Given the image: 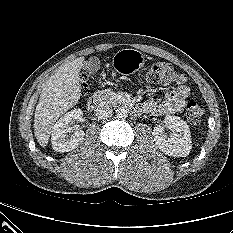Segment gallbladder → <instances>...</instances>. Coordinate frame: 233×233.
<instances>
[{"mask_svg": "<svg viewBox=\"0 0 233 233\" xmlns=\"http://www.w3.org/2000/svg\"><path fill=\"white\" fill-rule=\"evenodd\" d=\"M84 67H85L86 72L92 74L94 72H97L100 69V61L97 57H90L85 62Z\"/></svg>", "mask_w": 233, "mask_h": 233, "instance_id": "bac80fb5", "label": "gallbladder"}]
</instances>
